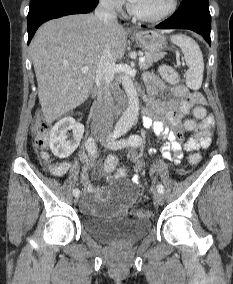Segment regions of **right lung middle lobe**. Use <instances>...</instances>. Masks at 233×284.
Instances as JSON below:
<instances>
[{
	"label": "right lung middle lobe",
	"mask_w": 233,
	"mask_h": 284,
	"mask_svg": "<svg viewBox=\"0 0 233 284\" xmlns=\"http://www.w3.org/2000/svg\"><path fill=\"white\" fill-rule=\"evenodd\" d=\"M35 1H39V0H30V3H33V2H35Z\"/></svg>",
	"instance_id": "obj_1"
}]
</instances>
